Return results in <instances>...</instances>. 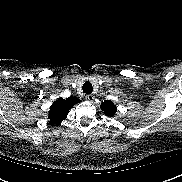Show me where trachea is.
<instances>
[{"label": "trachea", "mask_w": 182, "mask_h": 182, "mask_svg": "<svg viewBox=\"0 0 182 182\" xmlns=\"http://www.w3.org/2000/svg\"><path fill=\"white\" fill-rule=\"evenodd\" d=\"M82 88H83V92L86 94H91L93 91V86L88 81L83 84Z\"/></svg>", "instance_id": "1"}]
</instances>
